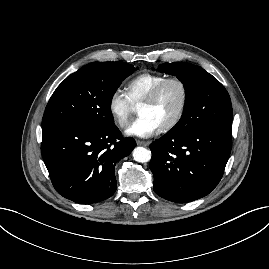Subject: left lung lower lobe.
<instances>
[{
  "label": "left lung lower lobe",
  "instance_id": "left-lung-lower-lobe-1",
  "mask_svg": "<svg viewBox=\"0 0 269 269\" xmlns=\"http://www.w3.org/2000/svg\"><path fill=\"white\" fill-rule=\"evenodd\" d=\"M231 125H209L186 134L168 132L150 145L157 195L187 203L209 194L221 180L232 147Z\"/></svg>",
  "mask_w": 269,
  "mask_h": 269
}]
</instances>
